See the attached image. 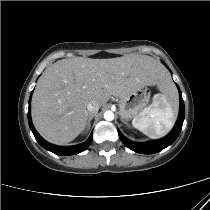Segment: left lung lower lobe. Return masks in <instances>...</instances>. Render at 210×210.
<instances>
[{"instance_id":"obj_1","label":"left lung lower lobe","mask_w":210,"mask_h":210,"mask_svg":"<svg viewBox=\"0 0 210 210\" xmlns=\"http://www.w3.org/2000/svg\"><path fill=\"white\" fill-rule=\"evenodd\" d=\"M178 87V86H177ZM179 89V87H178ZM179 97H180V110H179V116L177 119V122L173 128V130L167 135L166 137L159 139V140H154L151 142H146V143H134L125 138L122 133L118 130L119 137L121 141L131 150L142 153V154H154L157 153L164 148L168 147L171 145L179 136L183 121L185 118V109H184V101L182 99V94L179 89Z\"/></svg>"}]
</instances>
